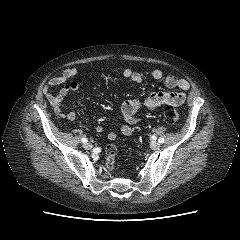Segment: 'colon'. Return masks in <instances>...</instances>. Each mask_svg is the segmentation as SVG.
Here are the masks:
<instances>
[{
	"instance_id": "5ec220e1",
	"label": "colon",
	"mask_w": 240,
	"mask_h": 240,
	"mask_svg": "<svg viewBox=\"0 0 240 240\" xmlns=\"http://www.w3.org/2000/svg\"><path fill=\"white\" fill-rule=\"evenodd\" d=\"M164 119L168 124H175L181 119V113L174 107H167L164 111ZM106 165L108 169H113L117 155V147L114 144H109L105 150Z\"/></svg>"
}]
</instances>
